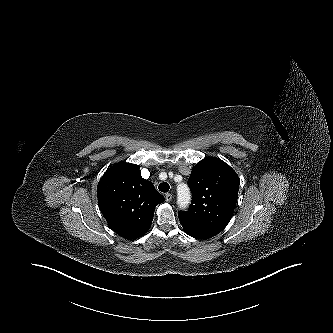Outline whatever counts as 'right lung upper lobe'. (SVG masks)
Segmentation results:
<instances>
[{"label": "right lung upper lobe", "instance_id": "obj_1", "mask_svg": "<svg viewBox=\"0 0 333 333\" xmlns=\"http://www.w3.org/2000/svg\"><path fill=\"white\" fill-rule=\"evenodd\" d=\"M99 208L117 234L136 239L150 227L156 205L164 201L139 166L119 163L109 168L97 187Z\"/></svg>", "mask_w": 333, "mask_h": 333}]
</instances>
